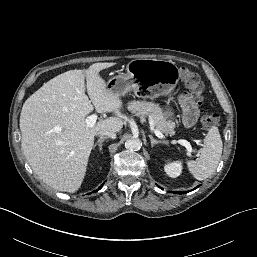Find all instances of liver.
I'll list each match as a JSON object with an SVG mask.
<instances>
[{
    "instance_id": "1",
    "label": "liver",
    "mask_w": 257,
    "mask_h": 257,
    "mask_svg": "<svg viewBox=\"0 0 257 257\" xmlns=\"http://www.w3.org/2000/svg\"><path fill=\"white\" fill-rule=\"evenodd\" d=\"M114 63H95L70 70L45 83L23 104L21 148L31 168L47 185L74 193L83 182L94 137L101 131L119 132L123 120L110 117L93 127L85 118L93 110L120 112L121 96L107 89L100 71ZM85 79L87 92L85 94Z\"/></svg>"
}]
</instances>
